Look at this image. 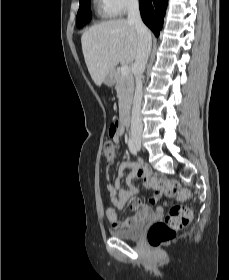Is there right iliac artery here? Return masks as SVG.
Returning <instances> with one entry per match:
<instances>
[{"label":"right iliac artery","mask_w":229,"mask_h":280,"mask_svg":"<svg viewBox=\"0 0 229 280\" xmlns=\"http://www.w3.org/2000/svg\"><path fill=\"white\" fill-rule=\"evenodd\" d=\"M128 147H129L130 152L133 155H137V148H136V146H135V144H134V142L131 138L128 141Z\"/></svg>","instance_id":"right-iliac-artery-1"}]
</instances>
